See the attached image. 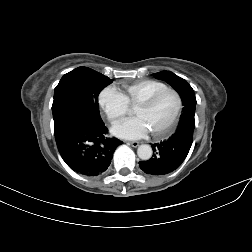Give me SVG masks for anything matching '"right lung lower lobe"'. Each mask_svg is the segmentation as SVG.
Listing matches in <instances>:
<instances>
[{"instance_id":"98d812e1","label":"right lung lower lobe","mask_w":252,"mask_h":252,"mask_svg":"<svg viewBox=\"0 0 252 252\" xmlns=\"http://www.w3.org/2000/svg\"><path fill=\"white\" fill-rule=\"evenodd\" d=\"M102 120H94L75 112L54 118V134L61 157L75 172L98 176L107 170L115 149L122 144L108 138Z\"/></svg>"}]
</instances>
